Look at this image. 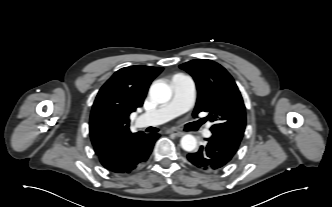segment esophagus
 <instances>
[{"label": "esophagus", "mask_w": 332, "mask_h": 207, "mask_svg": "<svg viewBox=\"0 0 332 207\" xmlns=\"http://www.w3.org/2000/svg\"><path fill=\"white\" fill-rule=\"evenodd\" d=\"M168 133H171V134H173V135H175V136H178V137L184 135L183 132H181V131H179V130H176V129H171V130L168 131Z\"/></svg>", "instance_id": "esophagus-1"}]
</instances>
